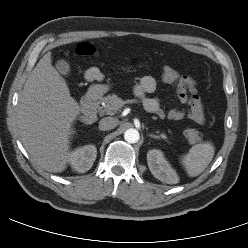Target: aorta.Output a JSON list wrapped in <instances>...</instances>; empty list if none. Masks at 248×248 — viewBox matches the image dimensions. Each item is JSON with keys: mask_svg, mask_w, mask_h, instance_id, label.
I'll use <instances>...</instances> for the list:
<instances>
[{"mask_svg": "<svg viewBox=\"0 0 248 248\" xmlns=\"http://www.w3.org/2000/svg\"><path fill=\"white\" fill-rule=\"evenodd\" d=\"M124 139L128 143H137L140 139L139 132L136 129L130 128V129L125 131Z\"/></svg>", "mask_w": 248, "mask_h": 248, "instance_id": "762f6f07", "label": "aorta"}]
</instances>
